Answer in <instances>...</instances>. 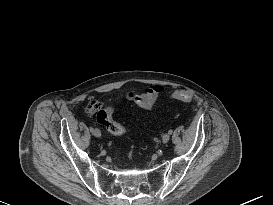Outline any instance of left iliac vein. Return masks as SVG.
I'll return each instance as SVG.
<instances>
[{
	"instance_id": "4c4485c4",
	"label": "left iliac vein",
	"mask_w": 273,
	"mask_h": 205,
	"mask_svg": "<svg viewBox=\"0 0 273 205\" xmlns=\"http://www.w3.org/2000/svg\"><path fill=\"white\" fill-rule=\"evenodd\" d=\"M170 139V135L168 133H165L162 137V142L167 143Z\"/></svg>"
}]
</instances>
